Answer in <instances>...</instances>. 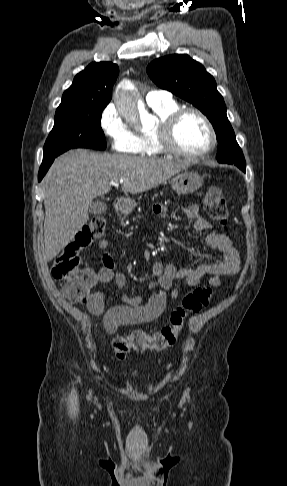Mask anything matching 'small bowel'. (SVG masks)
<instances>
[{
  "mask_svg": "<svg viewBox=\"0 0 287 486\" xmlns=\"http://www.w3.org/2000/svg\"><path fill=\"white\" fill-rule=\"evenodd\" d=\"M152 213L157 218H166L167 209L156 204ZM188 219L194 221L193 228L197 232L209 231L206 243L212 249L217 250L222 261L217 263H201L194 268H178L174 265H165L157 262L152 267V273L157 278L150 284L155 290L146 301L142 295L122 296V305L114 306L105 311L106 296L102 290H96L90 294L87 301V308L90 313L96 316L103 315L104 326L108 333L114 334L121 326L140 325L156 320L166 307L168 297L177 299L180 295V288L177 281L183 280L188 286L195 287L201 283L205 275H211L209 283L212 286H219L223 276H232L239 272L241 261L238 251L232 244L230 235L218 233L211 229L210 223L200 215L197 205H189L185 208ZM103 251L101 255L102 267L95 275V284L106 285L114 283L117 287L123 288L126 285V276L117 270L112 255L107 251L109 241L101 239L98 243Z\"/></svg>",
  "mask_w": 287,
  "mask_h": 486,
  "instance_id": "small-bowel-1",
  "label": "small bowel"
}]
</instances>
